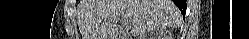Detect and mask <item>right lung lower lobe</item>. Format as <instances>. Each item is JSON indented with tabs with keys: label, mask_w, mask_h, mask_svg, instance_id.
Wrapping results in <instances>:
<instances>
[{
	"label": "right lung lower lobe",
	"mask_w": 249,
	"mask_h": 39,
	"mask_svg": "<svg viewBox=\"0 0 249 39\" xmlns=\"http://www.w3.org/2000/svg\"><path fill=\"white\" fill-rule=\"evenodd\" d=\"M173 1L184 16L186 13V0H173Z\"/></svg>",
	"instance_id": "obj_1"
}]
</instances>
